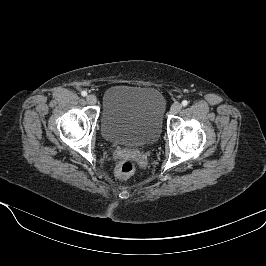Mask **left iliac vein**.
<instances>
[{
    "mask_svg": "<svg viewBox=\"0 0 266 266\" xmlns=\"http://www.w3.org/2000/svg\"><path fill=\"white\" fill-rule=\"evenodd\" d=\"M181 109H182V105L180 103L176 102L171 106V113L177 114L181 111Z\"/></svg>",
    "mask_w": 266,
    "mask_h": 266,
    "instance_id": "left-iliac-vein-1",
    "label": "left iliac vein"
}]
</instances>
